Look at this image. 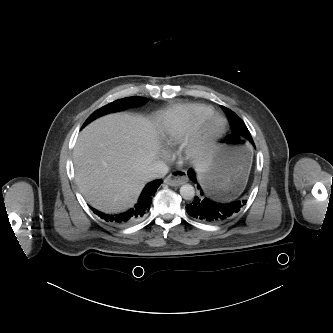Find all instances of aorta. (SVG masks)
<instances>
[{
	"label": "aorta",
	"mask_w": 333,
	"mask_h": 333,
	"mask_svg": "<svg viewBox=\"0 0 333 333\" xmlns=\"http://www.w3.org/2000/svg\"><path fill=\"white\" fill-rule=\"evenodd\" d=\"M180 195L185 200H191L195 195V189L190 184H184L180 187Z\"/></svg>",
	"instance_id": "1"
}]
</instances>
